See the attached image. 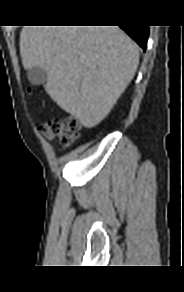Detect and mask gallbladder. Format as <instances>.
<instances>
[{"label": "gallbladder", "mask_w": 184, "mask_h": 292, "mask_svg": "<svg viewBox=\"0 0 184 292\" xmlns=\"http://www.w3.org/2000/svg\"><path fill=\"white\" fill-rule=\"evenodd\" d=\"M28 78L33 85H40L46 82L47 73L36 66L28 70Z\"/></svg>", "instance_id": "bac80fb5"}]
</instances>
